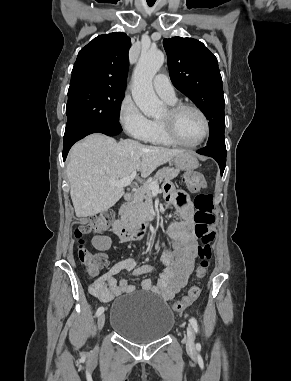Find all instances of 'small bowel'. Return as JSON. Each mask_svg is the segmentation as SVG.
<instances>
[{
    "instance_id": "obj_1",
    "label": "small bowel",
    "mask_w": 291,
    "mask_h": 381,
    "mask_svg": "<svg viewBox=\"0 0 291 381\" xmlns=\"http://www.w3.org/2000/svg\"><path fill=\"white\" fill-rule=\"evenodd\" d=\"M166 192L168 202L179 199V197L175 198V192L170 187L166 189ZM177 210L182 221L174 223L168 230L167 236L171 246L167 247L163 244L160 273L155 285L150 279H143L138 285H132L125 279L117 283L115 276L125 270L131 271L136 276L151 274L155 271L151 265L136 266L132 258H126L114 264L90 284L91 294L103 303L112 301L122 293L136 290L150 291L166 301L172 300L186 286L194 271L198 253V245L192 232V205L187 202H178ZM92 244L98 250H106L110 246V239L107 236L98 235L93 237Z\"/></svg>"
}]
</instances>
